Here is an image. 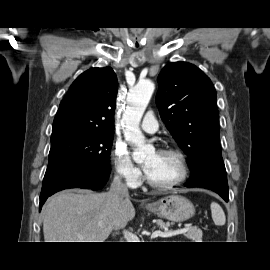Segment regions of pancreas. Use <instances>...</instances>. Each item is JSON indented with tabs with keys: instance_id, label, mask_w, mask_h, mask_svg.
Instances as JSON below:
<instances>
[{
	"instance_id": "1",
	"label": "pancreas",
	"mask_w": 270,
	"mask_h": 270,
	"mask_svg": "<svg viewBox=\"0 0 270 270\" xmlns=\"http://www.w3.org/2000/svg\"><path fill=\"white\" fill-rule=\"evenodd\" d=\"M157 225L160 228H165V227H168L170 224L169 223H165L162 220H158L157 221ZM185 236L188 239L193 240V242H201L202 231H201V229H199L197 227H189L188 231L185 233Z\"/></svg>"
}]
</instances>
